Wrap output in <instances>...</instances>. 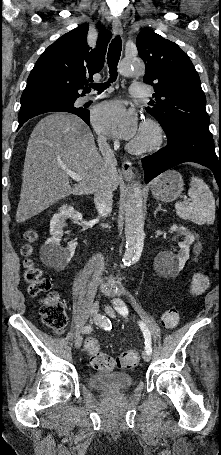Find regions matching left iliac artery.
<instances>
[{"label": "left iliac artery", "instance_id": "44dca946", "mask_svg": "<svg viewBox=\"0 0 221 455\" xmlns=\"http://www.w3.org/2000/svg\"><path fill=\"white\" fill-rule=\"evenodd\" d=\"M114 304H115V309L117 310L118 313H120L124 317L128 315V313H129L128 308L121 299H115ZM139 326H140V328L143 332L144 338H145V350L148 354H151L152 347H151L150 331L148 330L146 324L142 321H139Z\"/></svg>", "mask_w": 221, "mask_h": 455}]
</instances>
